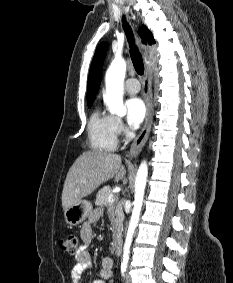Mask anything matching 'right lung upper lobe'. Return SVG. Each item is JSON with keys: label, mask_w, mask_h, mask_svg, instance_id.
<instances>
[{"label": "right lung upper lobe", "mask_w": 233, "mask_h": 283, "mask_svg": "<svg viewBox=\"0 0 233 283\" xmlns=\"http://www.w3.org/2000/svg\"><path fill=\"white\" fill-rule=\"evenodd\" d=\"M138 33L141 39L143 40L144 44L148 43L149 45H152L155 43L152 33L147 29L146 26L142 25ZM106 50H107V44L106 42H102L98 46L91 64L89 77H88V87H87L88 105L93 103L96 93L98 92V89L100 87L102 66H103Z\"/></svg>", "instance_id": "right-lung-upper-lobe-1"}]
</instances>
